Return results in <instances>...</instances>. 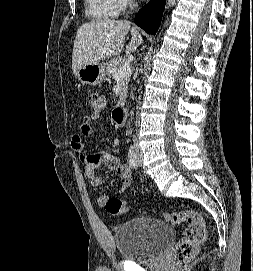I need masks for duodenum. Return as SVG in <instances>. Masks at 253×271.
I'll use <instances>...</instances> for the list:
<instances>
[{
	"instance_id": "obj_1",
	"label": "duodenum",
	"mask_w": 253,
	"mask_h": 271,
	"mask_svg": "<svg viewBox=\"0 0 253 271\" xmlns=\"http://www.w3.org/2000/svg\"><path fill=\"white\" fill-rule=\"evenodd\" d=\"M113 120L117 126H123L126 120V110L124 107H117L113 112Z\"/></svg>"
}]
</instances>
